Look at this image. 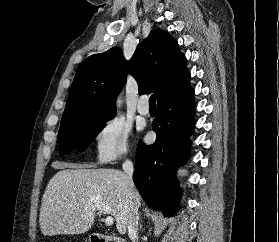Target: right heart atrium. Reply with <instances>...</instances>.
<instances>
[{"instance_id":"d8ad5b80","label":"right heart atrium","mask_w":279,"mask_h":242,"mask_svg":"<svg viewBox=\"0 0 279 242\" xmlns=\"http://www.w3.org/2000/svg\"><path fill=\"white\" fill-rule=\"evenodd\" d=\"M130 126L121 118L109 120L95 139L94 159L110 164L126 158L130 153Z\"/></svg>"}]
</instances>
